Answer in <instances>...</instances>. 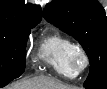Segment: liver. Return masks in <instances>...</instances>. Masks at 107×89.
Returning <instances> with one entry per match:
<instances>
[{"instance_id": "6515ba94", "label": "liver", "mask_w": 107, "mask_h": 89, "mask_svg": "<svg viewBox=\"0 0 107 89\" xmlns=\"http://www.w3.org/2000/svg\"><path fill=\"white\" fill-rule=\"evenodd\" d=\"M7 89H71L50 77L37 76L10 85Z\"/></svg>"}]
</instances>
